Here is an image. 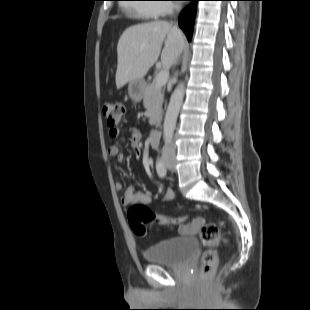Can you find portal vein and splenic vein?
<instances>
[{"instance_id": "18ae733b", "label": "portal vein and splenic vein", "mask_w": 310, "mask_h": 310, "mask_svg": "<svg viewBox=\"0 0 310 310\" xmlns=\"http://www.w3.org/2000/svg\"><path fill=\"white\" fill-rule=\"evenodd\" d=\"M169 78V72L166 70L160 71L156 77V82H155V86L157 88H161L163 87Z\"/></svg>"}]
</instances>
